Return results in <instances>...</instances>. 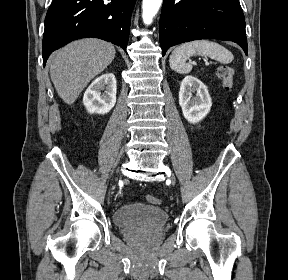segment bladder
I'll use <instances>...</instances> for the list:
<instances>
[{
	"label": "bladder",
	"instance_id": "obj_1",
	"mask_svg": "<svg viewBox=\"0 0 288 280\" xmlns=\"http://www.w3.org/2000/svg\"><path fill=\"white\" fill-rule=\"evenodd\" d=\"M113 221L124 229L158 231L166 225L168 214L158 206L133 203L117 208L113 213Z\"/></svg>",
	"mask_w": 288,
	"mask_h": 280
}]
</instances>
